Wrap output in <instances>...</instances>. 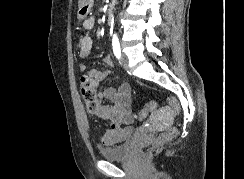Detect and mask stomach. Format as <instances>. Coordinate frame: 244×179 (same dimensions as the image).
I'll return each instance as SVG.
<instances>
[{"mask_svg":"<svg viewBox=\"0 0 244 179\" xmlns=\"http://www.w3.org/2000/svg\"><path fill=\"white\" fill-rule=\"evenodd\" d=\"M93 0H79V10H78V18L79 20H84L86 16H88L89 12H91Z\"/></svg>","mask_w":244,"mask_h":179,"instance_id":"stomach-1","label":"stomach"}]
</instances>
